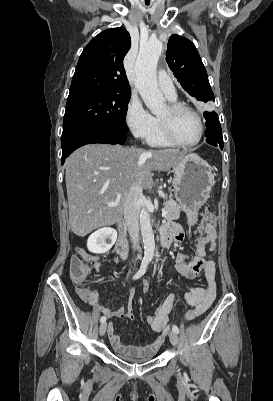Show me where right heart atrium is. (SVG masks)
Here are the masks:
<instances>
[{
	"label": "right heart atrium",
	"mask_w": 273,
	"mask_h": 401,
	"mask_svg": "<svg viewBox=\"0 0 273 401\" xmlns=\"http://www.w3.org/2000/svg\"><path fill=\"white\" fill-rule=\"evenodd\" d=\"M126 123L137 139H147L153 131L155 117L144 107L141 100L132 97L127 105Z\"/></svg>",
	"instance_id": "right-heart-atrium-1"
}]
</instances>
